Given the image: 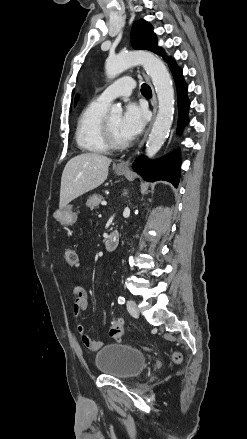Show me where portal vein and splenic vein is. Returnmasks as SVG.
I'll list each match as a JSON object with an SVG mask.
<instances>
[{
	"label": "portal vein and splenic vein",
	"instance_id": "portal-vein-and-splenic-vein-1",
	"mask_svg": "<svg viewBox=\"0 0 247 439\" xmlns=\"http://www.w3.org/2000/svg\"><path fill=\"white\" fill-rule=\"evenodd\" d=\"M101 204H102L103 206H105V205H107V202H106V201H103Z\"/></svg>",
	"mask_w": 247,
	"mask_h": 439
}]
</instances>
